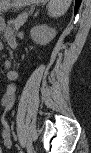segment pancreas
Here are the masks:
<instances>
[{"label": "pancreas", "mask_w": 91, "mask_h": 153, "mask_svg": "<svg viewBox=\"0 0 91 153\" xmlns=\"http://www.w3.org/2000/svg\"><path fill=\"white\" fill-rule=\"evenodd\" d=\"M27 17H28L27 14H22V15H19L14 21H9L8 23L14 25V29L18 30V27L24 24Z\"/></svg>", "instance_id": "pancreas-1"}]
</instances>
